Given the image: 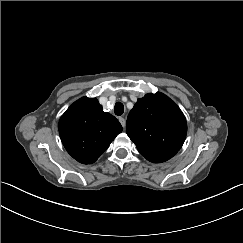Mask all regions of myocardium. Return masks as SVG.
I'll return each instance as SVG.
<instances>
[{
  "instance_id": "myocardium-1",
  "label": "myocardium",
  "mask_w": 243,
  "mask_h": 243,
  "mask_svg": "<svg viewBox=\"0 0 243 243\" xmlns=\"http://www.w3.org/2000/svg\"><path fill=\"white\" fill-rule=\"evenodd\" d=\"M134 91L135 89H129V96L125 97L124 100L126 101L127 99H131V100H136V97L134 96Z\"/></svg>"
}]
</instances>
